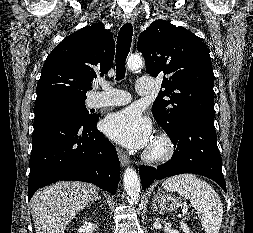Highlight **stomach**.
<instances>
[{
	"mask_svg": "<svg viewBox=\"0 0 253 233\" xmlns=\"http://www.w3.org/2000/svg\"><path fill=\"white\" fill-rule=\"evenodd\" d=\"M155 201L161 211L172 212L180 206L179 199L170 193L158 192Z\"/></svg>",
	"mask_w": 253,
	"mask_h": 233,
	"instance_id": "1",
	"label": "stomach"
}]
</instances>
